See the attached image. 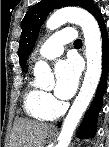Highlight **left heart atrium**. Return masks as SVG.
I'll list each match as a JSON object with an SVG mask.
<instances>
[{
  "instance_id": "39dd6f15",
  "label": "left heart atrium",
  "mask_w": 109,
  "mask_h": 147,
  "mask_svg": "<svg viewBox=\"0 0 109 147\" xmlns=\"http://www.w3.org/2000/svg\"><path fill=\"white\" fill-rule=\"evenodd\" d=\"M80 67L77 59L69 57L55 66L56 84L54 94L60 99L71 98L78 86Z\"/></svg>"
}]
</instances>
